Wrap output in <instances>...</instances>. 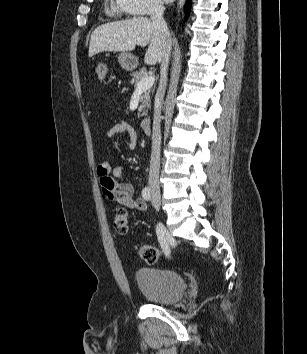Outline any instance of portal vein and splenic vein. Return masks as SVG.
<instances>
[{
	"instance_id": "18ae733b",
	"label": "portal vein and splenic vein",
	"mask_w": 307,
	"mask_h": 354,
	"mask_svg": "<svg viewBox=\"0 0 307 354\" xmlns=\"http://www.w3.org/2000/svg\"><path fill=\"white\" fill-rule=\"evenodd\" d=\"M155 78L153 76L143 78L136 86L135 91L144 92L150 89L154 84Z\"/></svg>"
}]
</instances>
